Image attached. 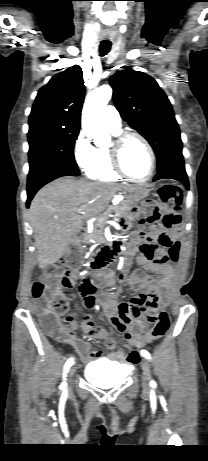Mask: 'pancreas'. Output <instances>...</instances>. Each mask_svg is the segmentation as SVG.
<instances>
[{
  "instance_id": "pancreas-1",
  "label": "pancreas",
  "mask_w": 208,
  "mask_h": 461,
  "mask_svg": "<svg viewBox=\"0 0 208 461\" xmlns=\"http://www.w3.org/2000/svg\"><path fill=\"white\" fill-rule=\"evenodd\" d=\"M132 202L128 199L122 200L118 205L116 206H110L106 212H104L103 216L101 219L97 222L96 227L90 237L94 240V242H100L104 243L105 238H104V226L107 223L108 217L110 213H119V216H114V220L118 221L119 218L126 214L128 211L132 209Z\"/></svg>"
}]
</instances>
